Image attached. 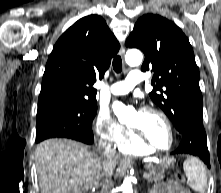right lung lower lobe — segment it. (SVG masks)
<instances>
[{
  "label": "right lung lower lobe",
  "instance_id": "1",
  "mask_svg": "<svg viewBox=\"0 0 221 193\" xmlns=\"http://www.w3.org/2000/svg\"><path fill=\"white\" fill-rule=\"evenodd\" d=\"M92 142H93V138L92 139H86V142H84V143L91 144Z\"/></svg>",
  "mask_w": 221,
  "mask_h": 193
}]
</instances>
